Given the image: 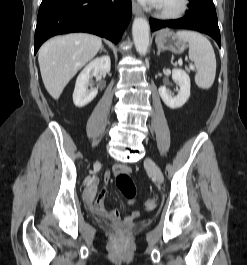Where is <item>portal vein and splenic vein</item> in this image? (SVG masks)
Instances as JSON below:
<instances>
[{
	"label": "portal vein and splenic vein",
	"mask_w": 247,
	"mask_h": 265,
	"mask_svg": "<svg viewBox=\"0 0 247 265\" xmlns=\"http://www.w3.org/2000/svg\"><path fill=\"white\" fill-rule=\"evenodd\" d=\"M180 64H182V60H180V62H179ZM191 69H193V66H191Z\"/></svg>",
	"instance_id": "portal-vein-and-splenic-vein-1"
}]
</instances>
